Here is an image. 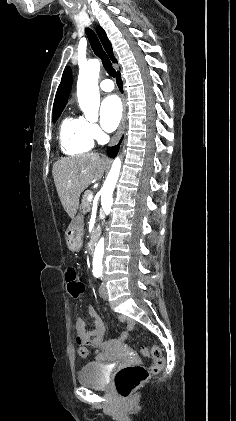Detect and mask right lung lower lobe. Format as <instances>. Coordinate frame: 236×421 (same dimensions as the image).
I'll list each match as a JSON object with an SVG mask.
<instances>
[{
	"mask_svg": "<svg viewBox=\"0 0 236 421\" xmlns=\"http://www.w3.org/2000/svg\"><path fill=\"white\" fill-rule=\"evenodd\" d=\"M117 85H118L120 91L122 92V80H121V77H120V73L119 72L117 73ZM120 143H121V141H120ZM120 143L118 145L114 146V147H111V148H108L107 149V154L111 158H114L116 156V154H117V152L119 150Z\"/></svg>",
	"mask_w": 236,
	"mask_h": 421,
	"instance_id": "1",
	"label": "right lung lower lobe"
}]
</instances>
